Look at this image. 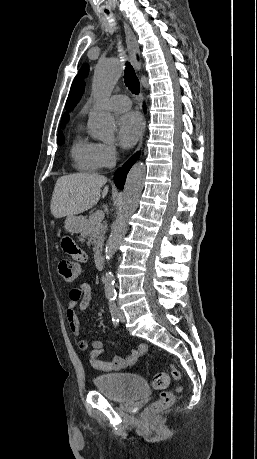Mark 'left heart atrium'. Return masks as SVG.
<instances>
[{
  "label": "left heart atrium",
  "instance_id": "left-heart-atrium-1",
  "mask_svg": "<svg viewBox=\"0 0 257 459\" xmlns=\"http://www.w3.org/2000/svg\"><path fill=\"white\" fill-rule=\"evenodd\" d=\"M141 131L142 119L135 112L124 114L118 121V139L120 144L125 148L131 147L137 142Z\"/></svg>",
  "mask_w": 257,
  "mask_h": 459
}]
</instances>
